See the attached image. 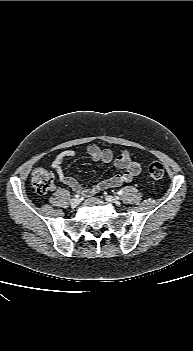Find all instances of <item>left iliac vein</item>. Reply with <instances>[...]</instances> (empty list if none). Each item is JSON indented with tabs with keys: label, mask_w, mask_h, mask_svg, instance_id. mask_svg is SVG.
Instances as JSON below:
<instances>
[{
	"label": "left iliac vein",
	"mask_w": 193,
	"mask_h": 351,
	"mask_svg": "<svg viewBox=\"0 0 193 351\" xmlns=\"http://www.w3.org/2000/svg\"><path fill=\"white\" fill-rule=\"evenodd\" d=\"M105 199L110 204L120 205V201L113 196L107 195Z\"/></svg>",
	"instance_id": "obj_1"
}]
</instances>
